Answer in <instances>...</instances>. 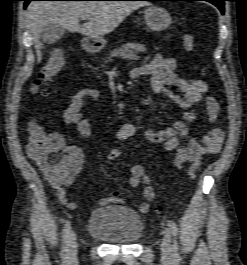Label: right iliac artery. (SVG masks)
Listing matches in <instances>:
<instances>
[{"label": "right iliac artery", "mask_w": 247, "mask_h": 265, "mask_svg": "<svg viewBox=\"0 0 247 265\" xmlns=\"http://www.w3.org/2000/svg\"><path fill=\"white\" fill-rule=\"evenodd\" d=\"M71 230V224L69 221H66L64 228H63V240H62V247H61V257L63 260L68 258V237Z\"/></svg>", "instance_id": "obj_1"}]
</instances>
